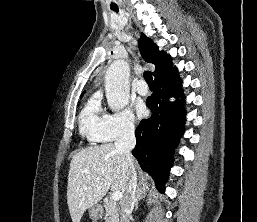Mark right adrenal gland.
I'll return each instance as SVG.
<instances>
[{"instance_id": "obj_1", "label": "right adrenal gland", "mask_w": 257, "mask_h": 222, "mask_svg": "<svg viewBox=\"0 0 257 222\" xmlns=\"http://www.w3.org/2000/svg\"><path fill=\"white\" fill-rule=\"evenodd\" d=\"M149 191L148 188H144V187H140L138 188L137 190V196H136V199H135V206H136V209L138 208V201L142 198H145L147 196V192Z\"/></svg>"}]
</instances>
